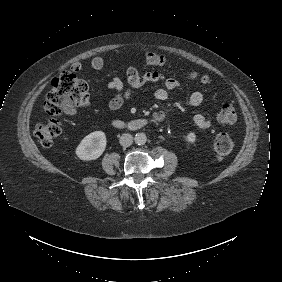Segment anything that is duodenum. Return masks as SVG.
I'll list each match as a JSON object with an SVG mask.
<instances>
[{
	"instance_id": "duodenum-1",
	"label": "duodenum",
	"mask_w": 282,
	"mask_h": 282,
	"mask_svg": "<svg viewBox=\"0 0 282 282\" xmlns=\"http://www.w3.org/2000/svg\"><path fill=\"white\" fill-rule=\"evenodd\" d=\"M163 118H164V114L159 112L157 113V117H155V120L162 121ZM147 124H148V119L146 118L135 119L129 122H124L118 119H114L111 121V126L114 128L128 127L131 129H138L146 126Z\"/></svg>"
}]
</instances>
